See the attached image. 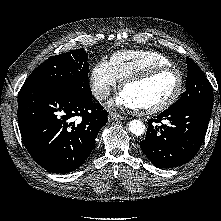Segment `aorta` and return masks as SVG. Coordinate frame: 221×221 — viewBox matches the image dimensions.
Instances as JSON below:
<instances>
[{
  "instance_id": "1",
  "label": "aorta",
  "mask_w": 221,
  "mask_h": 221,
  "mask_svg": "<svg viewBox=\"0 0 221 221\" xmlns=\"http://www.w3.org/2000/svg\"><path fill=\"white\" fill-rule=\"evenodd\" d=\"M128 126L129 131L136 136H140L145 132V125L140 120L134 119L129 122Z\"/></svg>"
}]
</instances>
